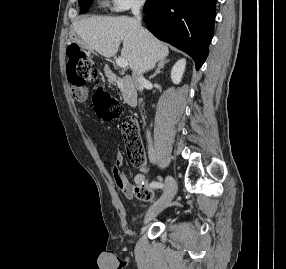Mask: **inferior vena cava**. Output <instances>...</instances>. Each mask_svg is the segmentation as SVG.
I'll return each mask as SVG.
<instances>
[{"label":"inferior vena cava","mask_w":286,"mask_h":269,"mask_svg":"<svg viewBox=\"0 0 286 269\" xmlns=\"http://www.w3.org/2000/svg\"><path fill=\"white\" fill-rule=\"evenodd\" d=\"M132 12L134 16L137 18V21L140 23L141 21L140 6L135 7L132 10ZM133 77H134V83H135L136 88L141 92L146 82L145 78L142 75H136V74H134ZM147 137H148V142H149V155H150V158H153L154 151L152 147L150 133H147Z\"/></svg>","instance_id":"obj_1"}]
</instances>
